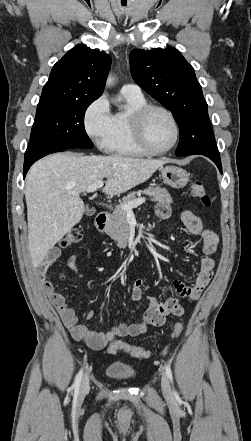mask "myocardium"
<instances>
[{
    "mask_svg": "<svg viewBox=\"0 0 251 441\" xmlns=\"http://www.w3.org/2000/svg\"><path fill=\"white\" fill-rule=\"evenodd\" d=\"M153 111H161L165 113L172 122L174 127V139L170 146L165 149L153 148L145 133V123L149 114ZM132 131L137 144L148 154L162 155L170 152L176 147L180 139V127L175 115L168 108L161 105L147 104L134 112L131 119Z\"/></svg>",
    "mask_w": 251,
    "mask_h": 441,
    "instance_id": "1",
    "label": "myocardium"
}]
</instances>
